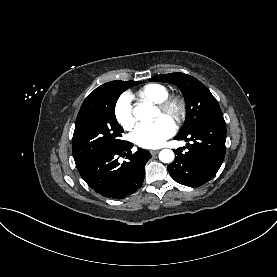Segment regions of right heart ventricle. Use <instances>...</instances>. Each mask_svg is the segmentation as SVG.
<instances>
[{"instance_id":"1","label":"right heart ventricle","mask_w":277,"mask_h":277,"mask_svg":"<svg viewBox=\"0 0 277 277\" xmlns=\"http://www.w3.org/2000/svg\"><path fill=\"white\" fill-rule=\"evenodd\" d=\"M136 96L142 101L156 105L169 96V91L162 84L150 83L140 88Z\"/></svg>"}]
</instances>
